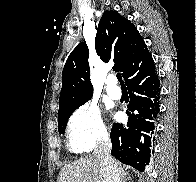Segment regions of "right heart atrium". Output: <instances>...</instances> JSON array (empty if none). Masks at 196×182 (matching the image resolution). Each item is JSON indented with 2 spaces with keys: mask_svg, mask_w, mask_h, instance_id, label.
Wrapping results in <instances>:
<instances>
[{
  "mask_svg": "<svg viewBox=\"0 0 196 182\" xmlns=\"http://www.w3.org/2000/svg\"><path fill=\"white\" fill-rule=\"evenodd\" d=\"M67 136L70 149L76 153L89 152L107 140L108 130L94 103H85L73 112Z\"/></svg>",
  "mask_w": 196,
  "mask_h": 182,
  "instance_id": "d8ad5b80",
  "label": "right heart atrium"
}]
</instances>
